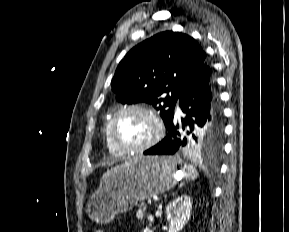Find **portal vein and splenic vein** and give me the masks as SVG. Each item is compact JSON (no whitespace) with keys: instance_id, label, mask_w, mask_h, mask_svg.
<instances>
[{"instance_id":"18ae733b","label":"portal vein and splenic vein","mask_w":289,"mask_h":232,"mask_svg":"<svg viewBox=\"0 0 289 232\" xmlns=\"http://www.w3.org/2000/svg\"><path fill=\"white\" fill-rule=\"evenodd\" d=\"M153 201H157V198H154L153 200H148V204H151Z\"/></svg>"}]
</instances>
